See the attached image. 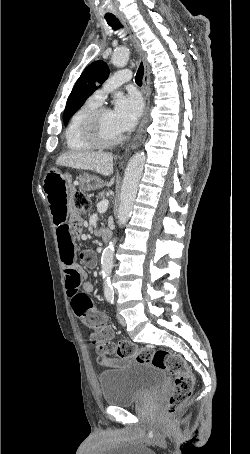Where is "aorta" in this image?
<instances>
[{"mask_svg":"<svg viewBox=\"0 0 250 454\" xmlns=\"http://www.w3.org/2000/svg\"><path fill=\"white\" fill-rule=\"evenodd\" d=\"M129 60V49L126 46L117 48L112 56V62L117 67H124ZM146 156L144 152L135 153L129 160L125 170L120 193V206L118 210V224L124 226L131 217L133 205L138 192V185L144 168ZM117 239L114 238L104 249L101 257L102 276L104 280V295L106 299L114 297L110 283L113 267L114 251Z\"/></svg>","mask_w":250,"mask_h":454,"instance_id":"obj_1","label":"aorta"}]
</instances>
